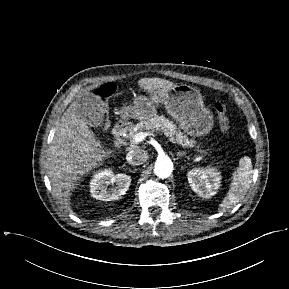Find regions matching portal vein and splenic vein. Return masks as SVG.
I'll return each mask as SVG.
<instances>
[{"mask_svg": "<svg viewBox=\"0 0 289 289\" xmlns=\"http://www.w3.org/2000/svg\"><path fill=\"white\" fill-rule=\"evenodd\" d=\"M154 135L155 134L153 132H139L134 136L133 141L135 143L142 142L147 136H154ZM196 151L201 155L209 156L208 152H206L205 150L198 149Z\"/></svg>", "mask_w": 289, "mask_h": 289, "instance_id": "18ae733b", "label": "portal vein and splenic vein"}]
</instances>
